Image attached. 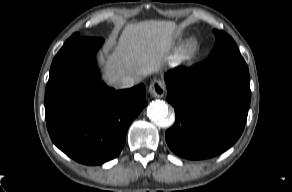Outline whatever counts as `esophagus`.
Wrapping results in <instances>:
<instances>
[{"instance_id":"34e87169","label":"esophagus","mask_w":292,"mask_h":192,"mask_svg":"<svg viewBox=\"0 0 292 192\" xmlns=\"http://www.w3.org/2000/svg\"><path fill=\"white\" fill-rule=\"evenodd\" d=\"M166 92L165 84L161 80H154L149 85V93L155 98H161Z\"/></svg>"}]
</instances>
